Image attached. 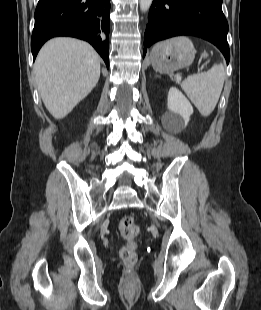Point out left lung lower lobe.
I'll return each instance as SVG.
<instances>
[{"label": "left lung lower lobe", "mask_w": 261, "mask_h": 310, "mask_svg": "<svg viewBox=\"0 0 261 310\" xmlns=\"http://www.w3.org/2000/svg\"><path fill=\"white\" fill-rule=\"evenodd\" d=\"M227 33L222 0H153L144 34L143 57L147 47L158 41L178 35H193L216 45L228 63Z\"/></svg>", "instance_id": "0a47b994"}]
</instances>
